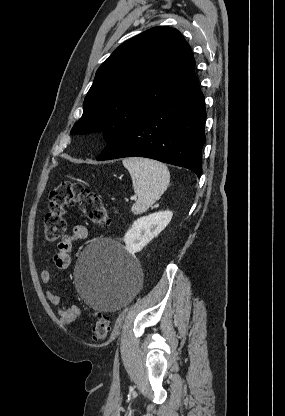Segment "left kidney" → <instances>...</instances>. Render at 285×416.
I'll return each instance as SVG.
<instances>
[{
	"instance_id": "obj_1",
	"label": "left kidney",
	"mask_w": 285,
	"mask_h": 416,
	"mask_svg": "<svg viewBox=\"0 0 285 416\" xmlns=\"http://www.w3.org/2000/svg\"><path fill=\"white\" fill-rule=\"evenodd\" d=\"M172 216L173 212L165 210V212H155L150 216L138 218L124 236L126 250L131 254L141 252L153 238H156L168 226Z\"/></svg>"
}]
</instances>
